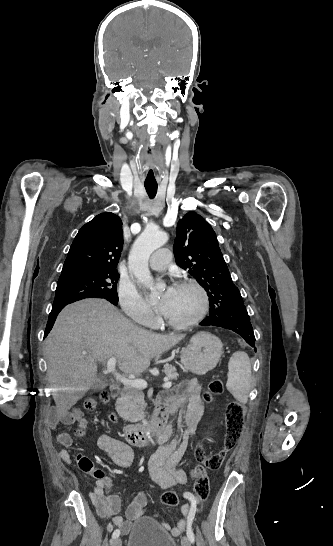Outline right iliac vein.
Returning a JSON list of instances; mask_svg holds the SVG:
<instances>
[{
  "label": "right iliac vein",
  "mask_w": 333,
  "mask_h": 546,
  "mask_svg": "<svg viewBox=\"0 0 333 546\" xmlns=\"http://www.w3.org/2000/svg\"><path fill=\"white\" fill-rule=\"evenodd\" d=\"M112 546H122V540L120 538L114 539L111 543Z\"/></svg>",
  "instance_id": "63e3f726"
}]
</instances>
